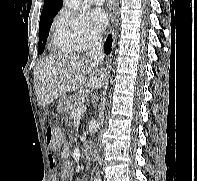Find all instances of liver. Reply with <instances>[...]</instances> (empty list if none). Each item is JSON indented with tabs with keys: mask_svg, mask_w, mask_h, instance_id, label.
<instances>
[{
	"mask_svg": "<svg viewBox=\"0 0 197 181\" xmlns=\"http://www.w3.org/2000/svg\"><path fill=\"white\" fill-rule=\"evenodd\" d=\"M106 75L88 56L58 54L42 59L34 70L37 102L46 107L54 99L83 87L98 89Z\"/></svg>",
	"mask_w": 197,
	"mask_h": 181,
	"instance_id": "6515ba94",
	"label": "liver"
}]
</instances>
